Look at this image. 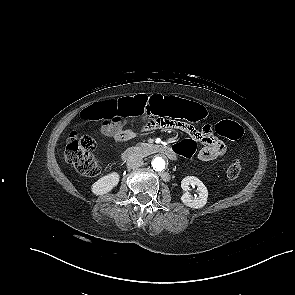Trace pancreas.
<instances>
[{
    "label": "pancreas",
    "mask_w": 295,
    "mask_h": 295,
    "mask_svg": "<svg viewBox=\"0 0 295 295\" xmlns=\"http://www.w3.org/2000/svg\"><path fill=\"white\" fill-rule=\"evenodd\" d=\"M139 145H140V146H143V145H145V143H140Z\"/></svg>",
    "instance_id": "pancreas-1"
}]
</instances>
